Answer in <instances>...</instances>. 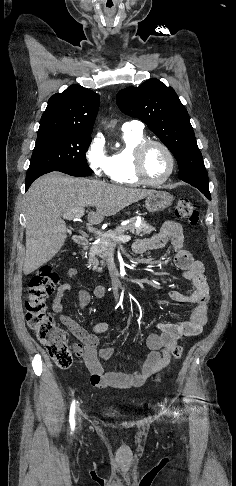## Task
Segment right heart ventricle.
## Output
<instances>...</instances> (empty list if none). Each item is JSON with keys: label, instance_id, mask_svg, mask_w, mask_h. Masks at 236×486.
Instances as JSON below:
<instances>
[{"label": "right heart ventricle", "instance_id": "right-heart-ventricle-1", "mask_svg": "<svg viewBox=\"0 0 236 486\" xmlns=\"http://www.w3.org/2000/svg\"><path fill=\"white\" fill-rule=\"evenodd\" d=\"M123 146L115 150L110 158V179L117 184L137 186L141 182L134 173L133 152L146 139L143 130L123 129Z\"/></svg>", "mask_w": 236, "mask_h": 486}]
</instances>
